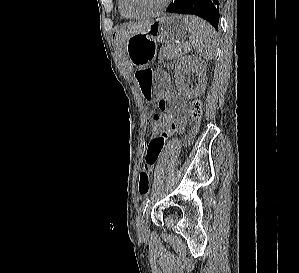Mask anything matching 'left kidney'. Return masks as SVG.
<instances>
[{"label": "left kidney", "mask_w": 299, "mask_h": 273, "mask_svg": "<svg viewBox=\"0 0 299 273\" xmlns=\"http://www.w3.org/2000/svg\"><path fill=\"white\" fill-rule=\"evenodd\" d=\"M189 71L194 72L197 77L195 88H190L184 81V75ZM175 77L177 89L183 96L188 98L200 96L206 87V64L194 55L182 57L176 64Z\"/></svg>", "instance_id": "5707ae66"}]
</instances>
